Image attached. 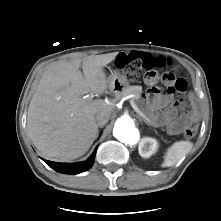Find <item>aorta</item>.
I'll return each instance as SVG.
<instances>
[{
    "label": "aorta",
    "mask_w": 221,
    "mask_h": 221,
    "mask_svg": "<svg viewBox=\"0 0 221 221\" xmlns=\"http://www.w3.org/2000/svg\"><path fill=\"white\" fill-rule=\"evenodd\" d=\"M113 135L120 142L126 144H134L139 139V131L135 127L134 121L128 116L117 119L114 125Z\"/></svg>",
    "instance_id": "762f6f07"
}]
</instances>
